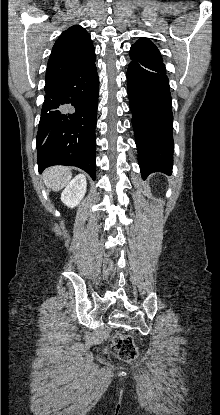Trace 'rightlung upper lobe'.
I'll return each mask as SVG.
<instances>
[{"mask_svg": "<svg viewBox=\"0 0 220 415\" xmlns=\"http://www.w3.org/2000/svg\"><path fill=\"white\" fill-rule=\"evenodd\" d=\"M95 60V48L88 32L81 26H72L59 36L52 48L45 81L82 69Z\"/></svg>", "mask_w": 220, "mask_h": 415, "instance_id": "1", "label": "right lung upper lobe"}]
</instances>
